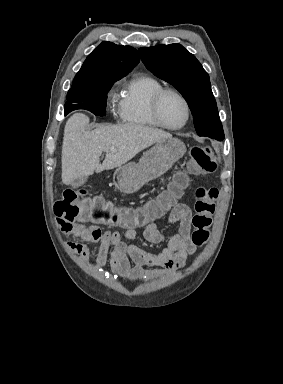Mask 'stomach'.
Returning <instances> with one entry per match:
<instances>
[{"label": "stomach", "instance_id": "0dacf381", "mask_svg": "<svg viewBox=\"0 0 283 384\" xmlns=\"http://www.w3.org/2000/svg\"><path fill=\"white\" fill-rule=\"evenodd\" d=\"M185 152V144L177 138L156 142L151 150L144 152L138 164L129 162L125 166H119L113 176L117 190L122 194H135L144 184L165 174Z\"/></svg>", "mask_w": 283, "mask_h": 384}]
</instances>
